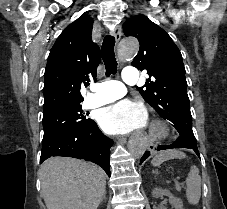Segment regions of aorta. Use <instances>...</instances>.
<instances>
[{
	"label": "aorta",
	"mask_w": 227,
	"mask_h": 209,
	"mask_svg": "<svg viewBox=\"0 0 227 209\" xmlns=\"http://www.w3.org/2000/svg\"><path fill=\"white\" fill-rule=\"evenodd\" d=\"M139 50V43L135 38H126L119 44V58L120 60H126L133 57ZM131 155L140 159L145 151V144L142 140H136L131 142L129 146Z\"/></svg>",
	"instance_id": "1"
}]
</instances>
